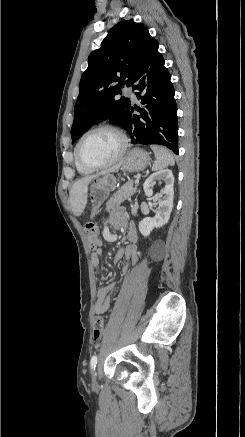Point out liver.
<instances>
[{"instance_id":"6515ba94","label":"liver","mask_w":245,"mask_h":437,"mask_svg":"<svg viewBox=\"0 0 245 437\" xmlns=\"http://www.w3.org/2000/svg\"><path fill=\"white\" fill-rule=\"evenodd\" d=\"M117 168H118V166L114 167L108 171H105L102 174L104 175L108 172H112ZM96 177H97V175L86 176L80 180H77L73 184V186L69 192V197H70L71 209H72L75 216H81V214L84 212V209H85L86 204H87V198H88V185Z\"/></svg>"}]
</instances>
